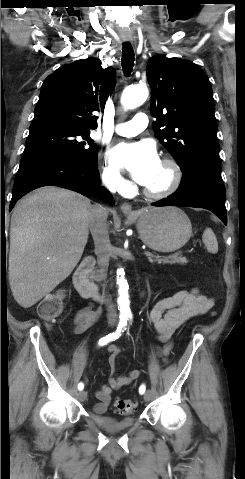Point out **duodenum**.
Masks as SVG:
<instances>
[{
	"instance_id": "1",
	"label": "duodenum",
	"mask_w": 245,
	"mask_h": 479,
	"mask_svg": "<svg viewBox=\"0 0 245 479\" xmlns=\"http://www.w3.org/2000/svg\"><path fill=\"white\" fill-rule=\"evenodd\" d=\"M95 260L89 256L85 258L74 272L73 283L81 296L101 300L99 287L89 278V273L94 268Z\"/></svg>"
}]
</instances>
